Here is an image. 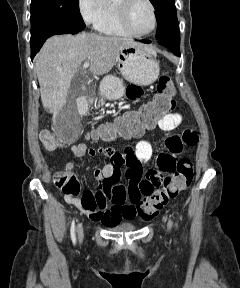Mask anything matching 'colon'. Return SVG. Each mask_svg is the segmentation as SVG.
Instances as JSON below:
<instances>
[{"label": "colon", "instance_id": "obj_1", "mask_svg": "<svg viewBox=\"0 0 240 288\" xmlns=\"http://www.w3.org/2000/svg\"><path fill=\"white\" fill-rule=\"evenodd\" d=\"M175 87L169 74L165 71L159 78L154 96L139 108L123 114L115 124V133L130 134L153 127L168 112L174 109ZM41 141L48 151L58 147V140L50 131L41 134ZM194 168L187 158L177 161L174 173L163 180V187L141 198L131 192L129 200L134 206L136 215L143 221L154 218L170 199L186 190L193 179ZM54 184L66 195L77 197L81 190L79 180L67 172H57L53 177Z\"/></svg>", "mask_w": 240, "mask_h": 288}]
</instances>
